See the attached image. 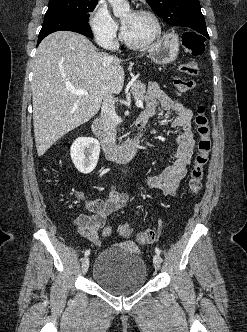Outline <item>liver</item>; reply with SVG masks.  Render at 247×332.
<instances>
[{"label": "liver", "instance_id": "1", "mask_svg": "<svg viewBox=\"0 0 247 332\" xmlns=\"http://www.w3.org/2000/svg\"><path fill=\"white\" fill-rule=\"evenodd\" d=\"M121 60L96 47L83 35L58 31L38 46L34 58L32 99L38 156L62 136L94 117L104 99L119 94L125 73ZM71 89L86 90L79 96Z\"/></svg>", "mask_w": 247, "mask_h": 332}]
</instances>
